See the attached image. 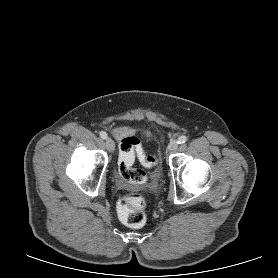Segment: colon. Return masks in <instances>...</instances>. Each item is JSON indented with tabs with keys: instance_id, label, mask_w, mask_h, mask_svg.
<instances>
[{
	"instance_id": "obj_1",
	"label": "colon",
	"mask_w": 278,
	"mask_h": 278,
	"mask_svg": "<svg viewBox=\"0 0 278 278\" xmlns=\"http://www.w3.org/2000/svg\"><path fill=\"white\" fill-rule=\"evenodd\" d=\"M146 167L157 164L155 156L146 155L136 137L123 139L120 143L119 152V173L121 177L132 184H144L147 181V174L133 167L135 157ZM147 199L144 194L130 192L124 194L117 202V213L119 219L129 227L139 228L146 221Z\"/></svg>"
}]
</instances>
